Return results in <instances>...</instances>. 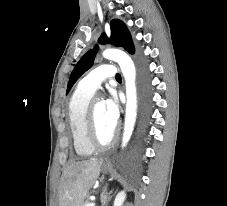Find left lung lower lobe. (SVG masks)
<instances>
[{"instance_id": "0a47b994", "label": "left lung lower lobe", "mask_w": 227, "mask_h": 206, "mask_svg": "<svg viewBox=\"0 0 227 206\" xmlns=\"http://www.w3.org/2000/svg\"><path fill=\"white\" fill-rule=\"evenodd\" d=\"M143 89H144V121L147 122L150 113V80L146 68H143Z\"/></svg>"}]
</instances>
